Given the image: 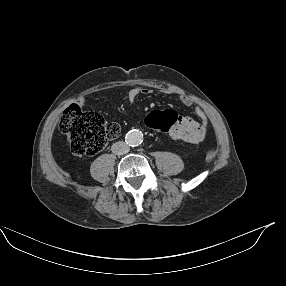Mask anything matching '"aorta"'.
Segmentation results:
<instances>
[{"instance_id": "obj_1", "label": "aorta", "mask_w": 286, "mask_h": 286, "mask_svg": "<svg viewBox=\"0 0 286 286\" xmlns=\"http://www.w3.org/2000/svg\"><path fill=\"white\" fill-rule=\"evenodd\" d=\"M126 142L130 146H138L143 141V134L141 131L133 129L126 134Z\"/></svg>"}]
</instances>
